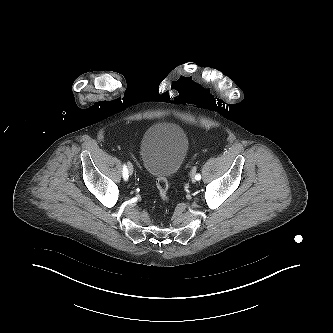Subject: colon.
Returning a JSON list of instances; mask_svg holds the SVG:
<instances>
[{"mask_svg":"<svg viewBox=\"0 0 333 333\" xmlns=\"http://www.w3.org/2000/svg\"><path fill=\"white\" fill-rule=\"evenodd\" d=\"M157 189L159 191L160 199L163 203H167L169 201V192H168V181L164 177H158L156 180Z\"/></svg>","mask_w":333,"mask_h":333,"instance_id":"1","label":"colon"}]
</instances>
